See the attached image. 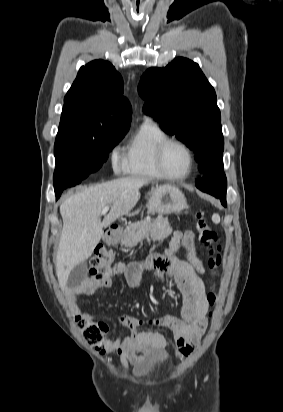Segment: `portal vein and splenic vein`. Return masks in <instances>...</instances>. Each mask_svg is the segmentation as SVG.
<instances>
[{
	"instance_id": "portal-vein-and-splenic-vein-1",
	"label": "portal vein and splenic vein",
	"mask_w": 283,
	"mask_h": 412,
	"mask_svg": "<svg viewBox=\"0 0 283 412\" xmlns=\"http://www.w3.org/2000/svg\"><path fill=\"white\" fill-rule=\"evenodd\" d=\"M108 211H109V206L104 207V208L102 209V211H101V215L106 214Z\"/></svg>"
}]
</instances>
